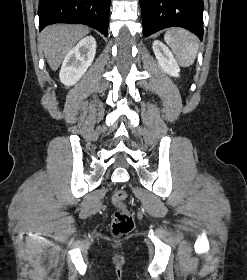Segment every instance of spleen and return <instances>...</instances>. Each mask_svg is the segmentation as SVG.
<instances>
[{
  "label": "spleen",
  "instance_id": "obj_1",
  "mask_svg": "<svg viewBox=\"0 0 247 280\" xmlns=\"http://www.w3.org/2000/svg\"><path fill=\"white\" fill-rule=\"evenodd\" d=\"M164 39L181 66L189 67L194 63L198 52V39L194 34L185 29L172 28L165 33Z\"/></svg>",
  "mask_w": 247,
  "mask_h": 280
}]
</instances>
